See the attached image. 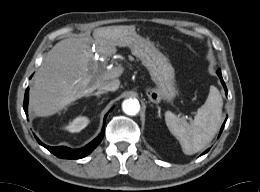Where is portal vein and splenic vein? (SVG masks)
Instances as JSON below:
<instances>
[{
	"label": "portal vein and splenic vein",
	"instance_id": "obj_1",
	"mask_svg": "<svg viewBox=\"0 0 260 192\" xmlns=\"http://www.w3.org/2000/svg\"><path fill=\"white\" fill-rule=\"evenodd\" d=\"M123 73L122 67H115L109 71V76L118 77Z\"/></svg>",
	"mask_w": 260,
	"mask_h": 192
}]
</instances>
